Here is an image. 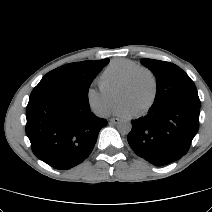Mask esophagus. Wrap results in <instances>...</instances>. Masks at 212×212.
<instances>
[{
	"label": "esophagus",
	"mask_w": 212,
	"mask_h": 212,
	"mask_svg": "<svg viewBox=\"0 0 212 212\" xmlns=\"http://www.w3.org/2000/svg\"><path fill=\"white\" fill-rule=\"evenodd\" d=\"M120 122V119L119 118H112L110 119V124H118Z\"/></svg>",
	"instance_id": "34e87169"
}]
</instances>
